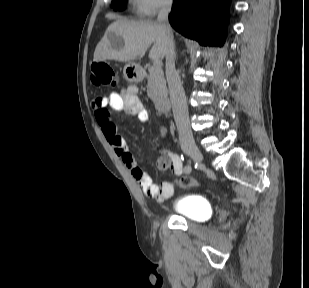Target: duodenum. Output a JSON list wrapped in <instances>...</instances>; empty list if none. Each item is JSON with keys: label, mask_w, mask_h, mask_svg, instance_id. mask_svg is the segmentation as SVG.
Wrapping results in <instances>:
<instances>
[{"label": "duodenum", "mask_w": 309, "mask_h": 288, "mask_svg": "<svg viewBox=\"0 0 309 288\" xmlns=\"http://www.w3.org/2000/svg\"><path fill=\"white\" fill-rule=\"evenodd\" d=\"M158 106L162 113H166L170 108V100L168 98H163L158 102Z\"/></svg>", "instance_id": "duodenum-1"}]
</instances>
